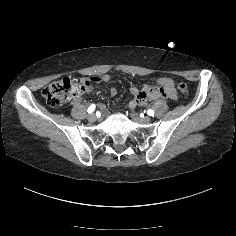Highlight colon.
<instances>
[{
  "label": "colon",
  "mask_w": 236,
  "mask_h": 236,
  "mask_svg": "<svg viewBox=\"0 0 236 236\" xmlns=\"http://www.w3.org/2000/svg\"><path fill=\"white\" fill-rule=\"evenodd\" d=\"M90 84L91 81L88 78L74 80L65 77L50 83L43 89L42 95L48 105L51 107H59L71 99L80 97L90 87ZM176 86L183 97H187V84L182 81H177Z\"/></svg>",
  "instance_id": "5ec220e1"
}]
</instances>
